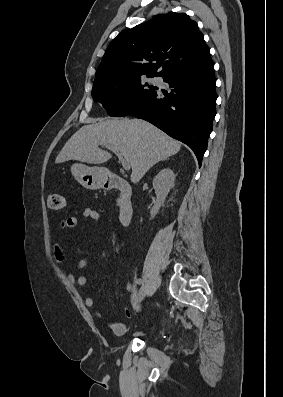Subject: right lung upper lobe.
Segmentation results:
<instances>
[{"mask_svg": "<svg viewBox=\"0 0 283 397\" xmlns=\"http://www.w3.org/2000/svg\"><path fill=\"white\" fill-rule=\"evenodd\" d=\"M210 59V50L195 21L185 13L157 15L122 31L109 44L96 81L159 76Z\"/></svg>", "mask_w": 283, "mask_h": 397, "instance_id": "obj_1", "label": "right lung upper lobe"}]
</instances>
